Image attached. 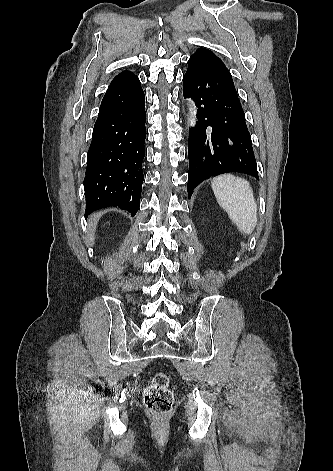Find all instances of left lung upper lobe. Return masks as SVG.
Returning a JSON list of instances; mask_svg holds the SVG:
<instances>
[{
	"mask_svg": "<svg viewBox=\"0 0 333 471\" xmlns=\"http://www.w3.org/2000/svg\"><path fill=\"white\" fill-rule=\"evenodd\" d=\"M196 52H205L209 55H211L222 67H224L227 71L228 69L226 68L225 64L222 62V60L218 57H216L213 52L209 51L208 49H205V48H200V49H197ZM229 72V71H228ZM230 74V73H229ZM231 75V74H230Z\"/></svg>",
	"mask_w": 333,
	"mask_h": 471,
	"instance_id": "5c2ea615",
	"label": "left lung upper lobe"
}]
</instances>
